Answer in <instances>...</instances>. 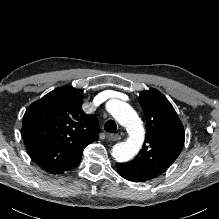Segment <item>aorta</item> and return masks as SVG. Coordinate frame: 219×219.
Returning <instances> with one entry per match:
<instances>
[{"mask_svg":"<svg viewBox=\"0 0 219 219\" xmlns=\"http://www.w3.org/2000/svg\"><path fill=\"white\" fill-rule=\"evenodd\" d=\"M106 108L129 132V138L114 145L111 152L117 162H127L138 153L143 144L145 132L142 122L135 110L125 102L110 100Z\"/></svg>","mask_w":219,"mask_h":219,"instance_id":"aorta-1","label":"aorta"}]
</instances>
